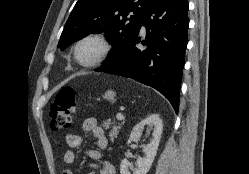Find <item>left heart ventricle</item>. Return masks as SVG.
Segmentation results:
<instances>
[{
  "instance_id": "b2bd125f",
  "label": "left heart ventricle",
  "mask_w": 249,
  "mask_h": 174,
  "mask_svg": "<svg viewBox=\"0 0 249 174\" xmlns=\"http://www.w3.org/2000/svg\"><path fill=\"white\" fill-rule=\"evenodd\" d=\"M101 51L100 45L95 41L83 43L79 48V57L83 61L94 59Z\"/></svg>"
}]
</instances>
